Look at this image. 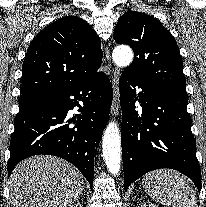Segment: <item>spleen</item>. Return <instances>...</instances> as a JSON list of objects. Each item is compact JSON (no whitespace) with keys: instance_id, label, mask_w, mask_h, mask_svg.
I'll return each mask as SVG.
<instances>
[{"instance_id":"3e777b00","label":"spleen","mask_w":206,"mask_h":207,"mask_svg":"<svg viewBox=\"0 0 206 207\" xmlns=\"http://www.w3.org/2000/svg\"><path fill=\"white\" fill-rule=\"evenodd\" d=\"M145 192L157 203L172 207H197L190 181L174 170H155L142 179Z\"/></svg>"}]
</instances>
